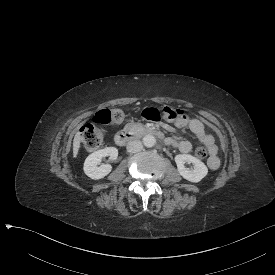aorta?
<instances>
[{
    "mask_svg": "<svg viewBox=\"0 0 275 275\" xmlns=\"http://www.w3.org/2000/svg\"><path fill=\"white\" fill-rule=\"evenodd\" d=\"M143 145L146 147H152L154 146L156 140L153 135L147 134L142 139Z\"/></svg>",
    "mask_w": 275,
    "mask_h": 275,
    "instance_id": "aorta-1",
    "label": "aorta"
}]
</instances>
